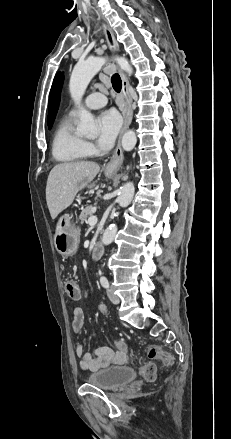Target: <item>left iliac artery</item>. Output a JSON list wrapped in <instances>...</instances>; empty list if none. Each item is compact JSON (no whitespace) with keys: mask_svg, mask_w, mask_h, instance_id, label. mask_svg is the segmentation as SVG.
Segmentation results:
<instances>
[{"mask_svg":"<svg viewBox=\"0 0 231 439\" xmlns=\"http://www.w3.org/2000/svg\"><path fill=\"white\" fill-rule=\"evenodd\" d=\"M100 282H101V285L104 287V288H108L109 287V281H108V279L106 278V277H101L100 278Z\"/></svg>","mask_w":231,"mask_h":439,"instance_id":"left-iliac-artery-1","label":"left iliac artery"}]
</instances>
